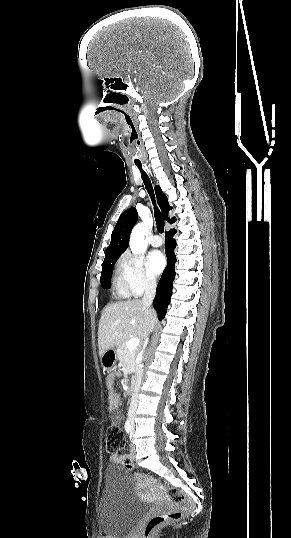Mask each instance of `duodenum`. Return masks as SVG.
Returning a JSON list of instances; mask_svg holds the SVG:
<instances>
[{
  "label": "duodenum",
  "instance_id": "duodenum-1",
  "mask_svg": "<svg viewBox=\"0 0 291 538\" xmlns=\"http://www.w3.org/2000/svg\"><path fill=\"white\" fill-rule=\"evenodd\" d=\"M109 354L111 357L115 356V353L113 350L109 351ZM124 381L122 383V386L124 389H126L125 394L127 396H130L132 394V390L135 388L136 383L134 380H132V377H130V374L128 372H125L123 374Z\"/></svg>",
  "mask_w": 291,
  "mask_h": 538
}]
</instances>
